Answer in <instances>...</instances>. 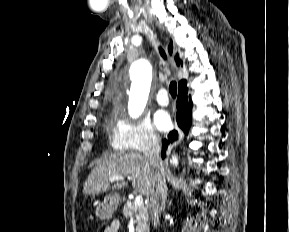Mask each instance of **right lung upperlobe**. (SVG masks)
I'll return each mask as SVG.
<instances>
[{
	"mask_svg": "<svg viewBox=\"0 0 289 232\" xmlns=\"http://www.w3.org/2000/svg\"><path fill=\"white\" fill-rule=\"evenodd\" d=\"M169 52L170 53L172 52V44L169 46ZM176 62H177V65L180 64V60H179L178 56L176 57ZM178 88H179V90L187 89L186 80H181L178 84Z\"/></svg>",
	"mask_w": 289,
	"mask_h": 232,
	"instance_id": "obj_1",
	"label": "right lung upper lobe"
}]
</instances>
